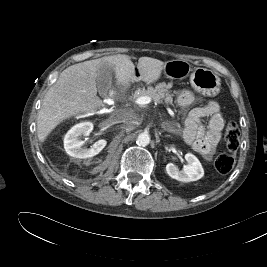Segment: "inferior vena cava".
I'll use <instances>...</instances> for the list:
<instances>
[{"label": "inferior vena cava", "instance_id": "obj_1", "mask_svg": "<svg viewBox=\"0 0 267 267\" xmlns=\"http://www.w3.org/2000/svg\"><path fill=\"white\" fill-rule=\"evenodd\" d=\"M115 122H123L128 128L133 129L138 123V117L132 110H123L116 113Z\"/></svg>", "mask_w": 267, "mask_h": 267}]
</instances>
